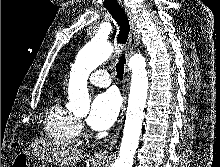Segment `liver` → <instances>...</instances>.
<instances>
[{
  "label": "liver",
  "instance_id": "6515ba94",
  "mask_svg": "<svg viewBox=\"0 0 220 167\" xmlns=\"http://www.w3.org/2000/svg\"><path fill=\"white\" fill-rule=\"evenodd\" d=\"M23 152L33 155L44 167L51 163L73 167L83 156V152L77 148L60 146L57 142L44 138H36Z\"/></svg>",
  "mask_w": 220,
  "mask_h": 167
}]
</instances>
